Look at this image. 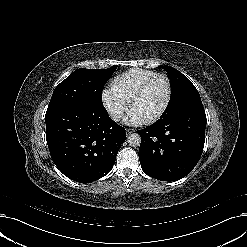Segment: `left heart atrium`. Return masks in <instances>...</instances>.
I'll use <instances>...</instances> for the list:
<instances>
[{
  "mask_svg": "<svg viewBox=\"0 0 247 247\" xmlns=\"http://www.w3.org/2000/svg\"><path fill=\"white\" fill-rule=\"evenodd\" d=\"M128 122L131 125H140L145 122V118L135 111H131L128 115Z\"/></svg>",
  "mask_w": 247,
  "mask_h": 247,
  "instance_id": "left-heart-atrium-1",
  "label": "left heart atrium"
}]
</instances>
